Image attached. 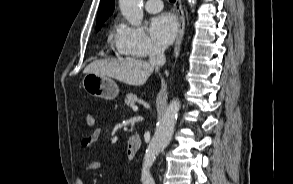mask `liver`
Masks as SVG:
<instances>
[{"mask_svg": "<svg viewBox=\"0 0 293 184\" xmlns=\"http://www.w3.org/2000/svg\"><path fill=\"white\" fill-rule=\"evenodd\" d=\"M153 71L154 67L149 62L132 57L95 60L84 69V73L113 77L133 86L143 85Z\"/></svg>", "mask_w": 293, "mask_h": 184, "instance_id": "1", "label": "liver"}]
</instances>
